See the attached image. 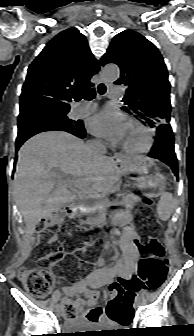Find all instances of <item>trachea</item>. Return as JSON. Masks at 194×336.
Returning a JSON list of instances; mask_svg holds the SVG:
<instances>
[{"instance_id": "1", "label": "trachea", "mask_w": 194, "mask_h": 336, "mask_svg": "<svg viewBox=\"0 0 194 336\" xmlns=\"http://www.w3.org/2000/svg\"><path fill=\"white\" fill-rule=\"evenodd\" d=\"M98 92L102 95L106 92V86L104 84H99L98 86ZM96 95L95 89H88L84 92L78 93L74 95L75 101L79 100H92Z\"/></svg>"}]
</instances>
